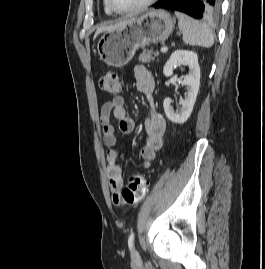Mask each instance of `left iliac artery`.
Instances as JSON below:
<instances>
[{"label":"left iliac artery","instance_id":"1","mask_svg":"<svg viewBox=\"0 0 265 269\" xmlns=\"http://www.w3.org/2000/svg\"><path fill=\"white\" fill-rule=\"evenodd\" d=\"M134 237H135V233L132 232L128 238V245L130 249H132L133 247Z\"/></svg>","mask_w":265,"mask_h":269}]
</instances>
